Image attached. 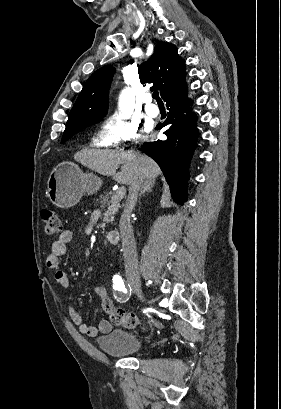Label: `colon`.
Returning <instances> with one entry per match:
<instances>
[{
    "instance_id": "1",
    "label": "colon",
    "mask_w": 281,
    "mask_h": 409,
    "mask_svg": "<svg viewBox=\"0 0 281 409\" xmlns=\"http://www.w3.org/2000/svg\"><path fill=\"white\" fill-rule=\"evenodd\" d=\"M42 218L45 222L46 231L49 234L61 233L63 231V224L56 211L44 208L42 210ZM108 309L110 319L115 324L121 325L125 328H134L140 324L136 315L126 313L125 311L123 314L122 306H111Z\"/></svg>"
}]
</instances>
